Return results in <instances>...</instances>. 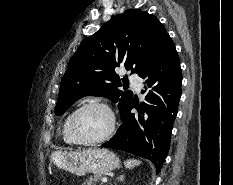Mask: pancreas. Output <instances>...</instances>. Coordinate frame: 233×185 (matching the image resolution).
<instances>
[{"instance_id":"1","label":"pancreas","mask_w":233,"mask_h":185,"mask_svg":"<svg viewBox=\"0 0 233 185\" xmlns=\"http://www.w3.org/2000/svg\"><path fill=\"white\" fill-rule=\"evenodd\" d=\"M100 179H101L100 175L91 176L86 180V184L87 185H97V182H99Z\"/></svg>"}]
</instances>
